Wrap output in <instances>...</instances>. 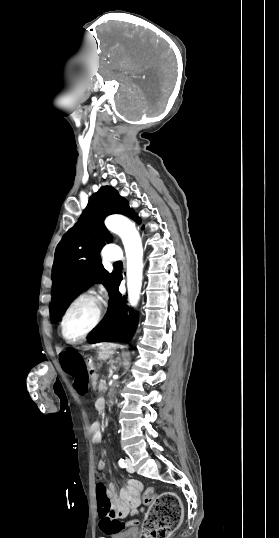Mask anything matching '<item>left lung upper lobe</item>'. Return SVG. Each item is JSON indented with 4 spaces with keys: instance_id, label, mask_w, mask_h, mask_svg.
Instances as JSON below:
<instances>
[{
    "instance_id": "5c2ea615",
    "label": "left lung upper lobe",
    "mask_w": 279,
    "mask_h": 538,
    "mask_svg": "<svg viewBox=\"0 0 279 538\" xmlns=\"http://www.w3.org/2000/svg\"><path fill=\"white\" fill-rule=\"evenodd\" d=\"M123 214L137 223L141 219L129 207L128 201L118 192L104 186L93 194L78 222L64 235L55 251L53 264V301L50 303L51 319L58 321L70 302L93 283H102L110 295V307L100 324L91 332L103 327L115 310L113 288L117 273L107 272L100 260V250L112 240L104 226L110 214Z\"/></svg>"
}]
</instances>
